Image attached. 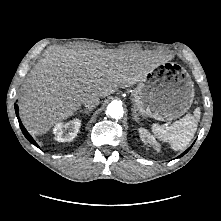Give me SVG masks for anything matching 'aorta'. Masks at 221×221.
Instances as JSON below:
<instances>
[{
	"mask_svg": "<svg viewBox=\"0 0 221 221\" xmlns=\"http://www.w3.org/2000/svg\"><path fill=\"white\" fill-rule=\"evenodd\" d=\"M123 107L118 101H113L107 106V115L114 119L123 117Z\"/></svg>",
	"mask_w": 221,
	"mask_h": 221,
	"instance_id": "obj_1",
	"label": "aorta"
}]
</instances>
